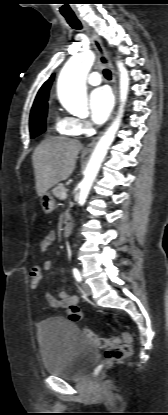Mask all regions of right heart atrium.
<instances>
[{
  "label": "right heart atrium",
  "mask_w": 168,
  "mask_h": 415,
  "mask_svg": "<svg viewBox=\"0 0 168 415\" xmlns=\"http://www.w3.org/2000/svg\"><path fill=\"white\" fill-rule=\"evenodd\" d=\"M73 127L77 135H86L92 130L91 123L84 119L73 118Z\"/></svg>",
  "instance_id": "obj_1"
}]
</instances>
